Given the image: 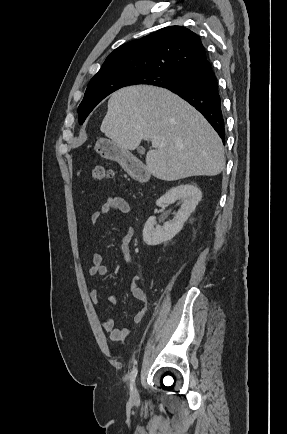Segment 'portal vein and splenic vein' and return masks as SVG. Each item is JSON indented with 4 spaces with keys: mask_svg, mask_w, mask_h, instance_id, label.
Returning <instances> with one entry per match:
<instances>
[{
    "mask_svg": "<svg viewBox=\"0 0 287 434\" xmlns=\"http://www.w3.org/2000/svg\"><path fill=\"white\" fill-rule=\"evenodd\" d=\"M158 145H159L158 142H156V141H152V146H153V147H157Z\"/></svg>",
    "mask_w": 287,
    "mask_h": 434,
    "instance_id": "portal-vein-and-splenic-vein-1",
    "label": "portal vein and splenic vein"
}]
</instances>
